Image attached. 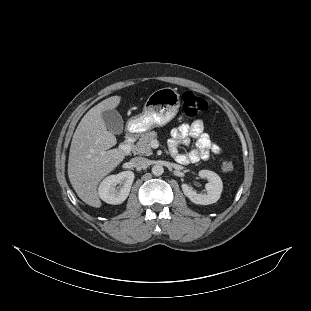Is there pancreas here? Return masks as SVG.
<instances>
[{
    "mask_svg": "<svg viewBox=\"0 0 311 311\" xmlns=\"http://www.w3.org/2000/svg\"><path fill=\"white\" fill-rule=\"evenodd\" d=\"M157 136L155 131H149L142 135L139 141L132 146L131 152L133 155H152L153 149L150 146V142Z\"/></svg>",
    "mask_w": 311,
    "mask_h": 311,
    "instance_id": "obj_1",
    "label": "pancreas"
}]
</instances>
